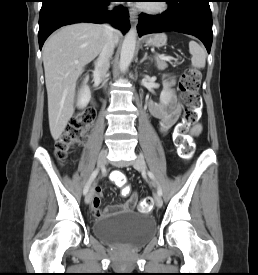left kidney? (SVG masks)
<instances>
[{"mask_svg":"<svg viewBox=\"0 0 258 275\" xmlns=\"http://www.w3.org/2000/svg\"><path fill=\"white\" fill-rule=\"evenodd\" d=\"M163 85H164V89L161 93L160 100L162 103H167L168 100L170 99L169 87L166 82H164Z\"/></svg>","mask_w":258,"mask_h":275,"instance_id":"5707ae66","label":"left kidney"}]
</instances>
